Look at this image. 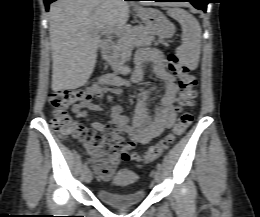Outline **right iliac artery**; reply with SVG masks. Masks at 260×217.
<instances>
[{"instance_id": "82829eb1", "label": "right iliac artery", "mask_w": 260, "mask_h": 217, "mask_svg": "<svg viewBox=\"0 0 260 217\" xmlns=\"http://www.w3.org/2000/svg\"><path fill=\"white\" fill-rule=\"evenodd\" d=\"M83 167H84V170H86L87 169V164L85 163Z\"/></svg>"}]
</instances>
